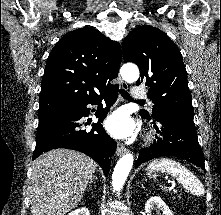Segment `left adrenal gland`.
<instances>
[{
	"instance_id": "1",
	"label": "left adrenal gland",
	"mask_w": 221,
	"mask_h": 215,
	"mask_svg": "<svg viewBox=\"0 0 221 215\" xmlns=\"http://www.w3.org/2000/svg\"><path fill=\"white\" fill-rule=\"evenodd\" d=\"M141 188H144V186H143V185H141Z\"/></svg>"
}]
</instances>
